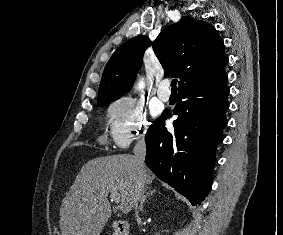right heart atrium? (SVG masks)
<instances>
[{"label":"right heart atrium","instance_id":"obj_1","mask_svg":"<svg viewBox=\"0 0 283 235\" xmlns=\"http://www.w3.org/2000/svg\"><path fill=\"white\" fill-rule=\"evenodd\" d=\"M148 123L143 109L130 97L114 101L108 111V132L111 142L126 149L133 141L145 136Z\"/></svg>","mask_w":283,"mask_h":235}]
</instances>
